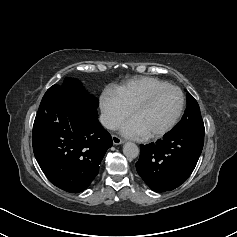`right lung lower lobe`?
Returning a JSON list of instances; mask_svg holds the SVG:
<instances>
[{"label": "right lung lower lobe", "mask_w": 237, "mask_h": 237, "mask_svg": "<svg viewBox=\"0 0 237 237\" xmlns=\"http://www.w3.org/2000/svg\"><path fill=\"white\" fill-rule=\"evenodd\" d=\"M112 144L95 107L73 100L58 86L47 90L33 125V151L51 183L70 193L83 191Z\"/></svg>", "instance_id": "right-lung-lower-lobe-1"}]
</instances>
